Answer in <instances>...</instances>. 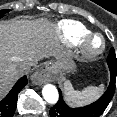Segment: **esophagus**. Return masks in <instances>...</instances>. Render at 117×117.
<instances>
[{
	"instance_id": "1",
	"label": "esophagus",
	"mask_w": 117,
	"mask_h": 117,
	"mask_svg": "<svg viewBox=\"0 0 117 117\" xmlns=\"http://www.w3.org/2000/svg\"><path fill=\"white\" fill-rule=\"evenodd\" d=\"M53 73V67L49 64H44L33 74L32 80L36 84H42L50 80Z\"/></svg>"
}]
</instances>
